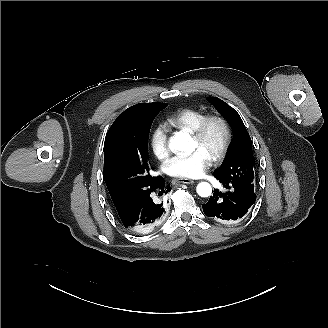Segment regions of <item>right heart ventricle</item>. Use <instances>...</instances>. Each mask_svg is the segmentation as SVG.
Masks as SVG:
<instances>
[{"label": "right heart ventricle", "mask_w": 328, "mask_h": 328, "mask_svg": "<svg viewBox=\"0 0 328 328\" xmlns=\"http://www.w3.org/2000/svg\"><path fill=\"white\" fill-rule=\"evenodd\" d=\"M205 116L206 113L202 110L188 108L171 114L168 122L173 127L190 133Z\"/></svg>", "instance_id": "obj_1"}]
</instances>
